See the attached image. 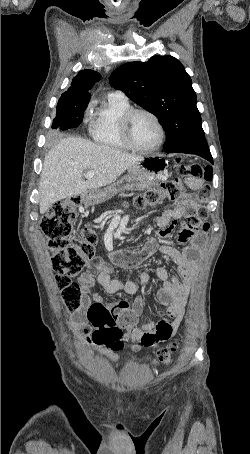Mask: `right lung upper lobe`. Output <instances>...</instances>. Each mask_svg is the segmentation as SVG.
<instances>
[{"label": "right lung upper lobe", "mask_w": 250, "mask_h": 454, "mask_svg": "<svg viewBox=\"0 0 250 454\" xmlns=\"http://www.w3.org/2000/svg\"><path fill=\"white\" fill-rule=\"evenodd\" d=\"M101 79V75L93 70H81L76 77L73 78L71 86L66 92L62 94L59 103H78L89 102V90L93 87L95 82Z\"/></svg>", "instance_id": "obj_1"}]
</instances>
